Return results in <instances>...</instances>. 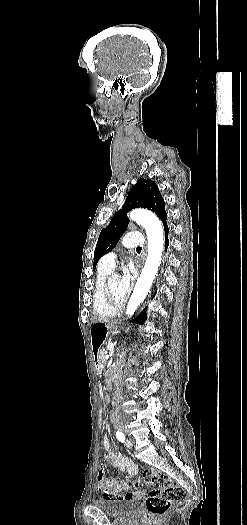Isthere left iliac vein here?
Instances as JSON below:
<instances>
[{"instance_id":"4c4485c4","label":"left iliac vein","mask_w":247,"mask_h":525,"mask_svg":"<svg viewBox=\"0 0 247 525\" xmlns=\"http://www.w3.org/2000/svg\"><path fill=\"white\" fill-rule=\"evenodd\" d=\"M125 444H126V446H127L128 448H131V447H132V442H131L130 440H128V439L126 440Z\"/></svg>"}]
</instances>
